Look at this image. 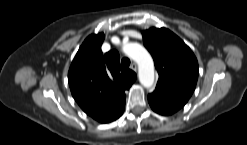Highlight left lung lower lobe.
Instances as JSON below:
<instances>
[{
  "instance_id": "1",
  "label": "left lung lower lobe",
  "mask_w": 247,
  "mask_h": 145,
  "mask_svg": "<svg viewBox=\"0 0 247 145\" xmlns=\"http://www.w3.org/2000/svg\"><path fill=\"white\" fill-rule=\"evenodd\" d=\"M188 99L167 90L157 88L148 95L151 108L158 114L171 115L181 109Z\"/></svg>"
}]
</instances>
